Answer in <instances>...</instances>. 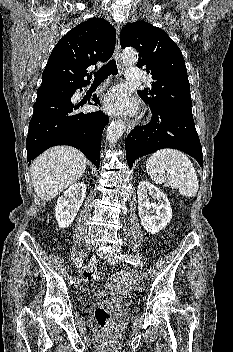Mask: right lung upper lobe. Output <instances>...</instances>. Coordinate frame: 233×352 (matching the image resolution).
Wrapping results in <instances>:
<instances>
[{
    "mask_svg": "<svg viewBox=\"0 0 233 352\" xmlns=\"http://www.w3.org/2000/svg\"><path fill=\"white\" fill-rule=\"evenodd\" d=\"M116 32L103 18H91L71 29L54 47L40 87L76 89L90 83V65L106 62L113 54ZM88 77L87 79H84Z\"/></svg>",
    "mask_w": 233,
    "mask_h": 352,
    "instance_id": "right-lung-upper-lobe-1",
    "label": "right lung upper lobe"
}]
</instances>
